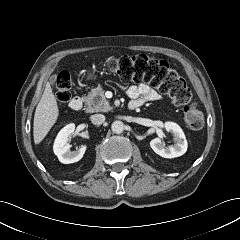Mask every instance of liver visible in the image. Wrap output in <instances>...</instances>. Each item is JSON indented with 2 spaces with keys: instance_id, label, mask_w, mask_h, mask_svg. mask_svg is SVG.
Listing matches in <instances>:
<instances>
[{
  "instance_id": "liver-1",
  "label": "liver",
  "mask_w": 240,
  "mask_h": 240,
  "mask_svg": "<svg viewBox=\"0 0 240 240\" xmlns=\"http://www.w3.org/2000/svg\"><path fill=\"white\" fill-rule=\"evenodd\" d=\"M59 115L58 105L49 83L36 107L33 122L34 143L39 144L56 123Z\"/></svg>"
}]
</instances>
